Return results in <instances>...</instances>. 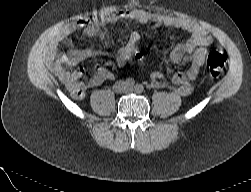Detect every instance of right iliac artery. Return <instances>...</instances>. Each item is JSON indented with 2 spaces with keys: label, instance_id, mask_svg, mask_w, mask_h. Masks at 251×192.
<instances>
[{
  "label": "right iliac artery",
  "instance_id": "1",
  "mask_svg": "<svg viewBox=\"0 0 251 192\" xmlns=\"http://www.w3.org/2000/svg\"><path fill=\"white\" fill-rule=\"evenodd\" d=\"M125 84L128 86V87H133L134 84H135V80L133 78H127L126 81H125Z\"/></svg>",
  "mask_w": 251,
  "mask_h": 192
}]
</instances>
